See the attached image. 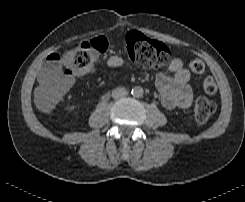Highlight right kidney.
<instances>
[{
	"label": "right kidney",
	"mask_w": 245,
	"mask_h": 202,
	"mask_svg": "<svg viewBox=\"0 0 245 202\" xmlns=\"http://www.w3.org/2000/svg\"><path fill=\"white\" fill-rule=\"evenodd\" d=\"M68 109H69V111H72V110H74V109H75V106H74V105H72V106H70Z\"/></svg>",
	"instance_id": "right-kidney-1"
}]
</instances>
